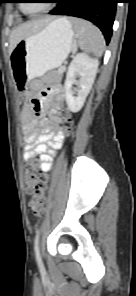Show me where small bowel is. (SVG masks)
I'll return each instance as SVG.
<instances>
[{
	"label": "small bowel",
	"instance_id": "c3829d8e",
	"mask_svg": "<svg viewBox=\"0 0 136 296\" xmlns=\"http://www.w3.org/2000/svg\"><path fill=\"white\" fill-rule=\"evenodd\" d=\"M29 100L30 96L27 95ZM64 102V89L60 84H54L43 90L31 104L24 105L21 111L22 131L25 141L24 160L30 161L38 156L40 169L50 170L53 156L62 146L64 132L63 119L60 111ZM47 108L49 113L44 115Z\"/></svg>",
	"mask_w": 136,
	"mask_h": 296
}]
</instances>
